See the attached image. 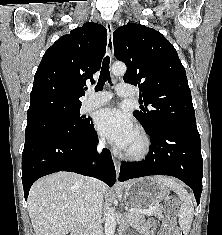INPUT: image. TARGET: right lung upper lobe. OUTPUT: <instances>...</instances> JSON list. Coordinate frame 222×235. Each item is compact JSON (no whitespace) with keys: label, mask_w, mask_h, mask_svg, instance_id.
Returning a JSON list of instances; mask_svg holds the SVG:
<instances>
[{"label":"right lung upper lobe","mask_w":222,"mask_h":235,"mask_svg":"<svg viewBox=\"0 0 222 235\" xmlns=\"http://www.w3.org/2000/svg\"><path fill=\"white\" fill-rule=\"evenodd\" d=\"M107 30L86 22L59 38L44 54L35 73L27 118L81 104L86 81L100 69Z\"/></svg>","instance_id":"right-lung-upper-lobe-1"}]
</instances>
